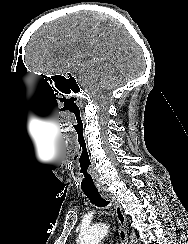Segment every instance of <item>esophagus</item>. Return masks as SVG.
<instances>
[{"label":"esophagus","mask_w":188,"mask_h":244,"mask_svg":"<svg viewBox=\"0 0 188 244\" xmlns=\"http://www.w3.org/2000/svg\"><path fill=\"white\" fill-rule=\"evenodd\" d=\"M101 195L110 201L115 209L116 217L119 224V236L121 239L122 244H128V237L125 230V224H126V217L124 215L123 209L120 205V203L116 200V198L113 196L112 193H110L108 190H102Z\"/></svg>","instance_id":"esophagus-1"}]
</instances>
